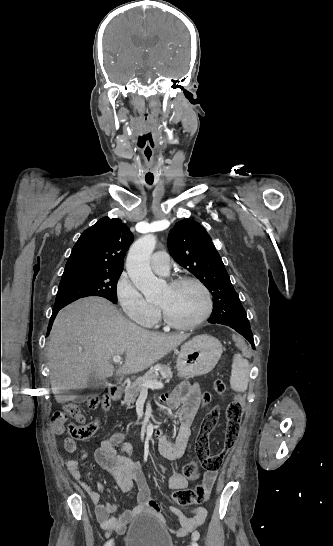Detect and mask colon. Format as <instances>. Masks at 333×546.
<instances>
[{
    "label": "colon",
    "mask_w": 333,
    "mask_h": 546,
    "mask_svg": "<svg viewBox=\"0 0 333 546\" xmlns=\"http://www.w3.org/2000/svg\"><path fill=\"white\" fill-rule=\"evenodd\" d=\"M226 390V385L221 379H216L213 382V391L217 394H222ZM211 400V394L204 392L201 397L203 404H208ZM244 395L237 393L235 399L229 403L226 409V429L224 436V445L221 451L211 453L209 449V436L215 429L219 420V411L216 408L209 409L201 423L200 432L195 441V453L198 462L206 471H218L225 460L227 453L234 447L241 428L243 417V401ZM111 399L108 395H104L101 399L97 396L88 398L86 404L90 409H94L101 405L103 409H108ZM65 414L55 413L52 417V426L56 433H67L74 439L86 440L92 437L98 429V421L94 420L86 424L66 423V415L76 417L81 414L80 409L75 404H67L64 407ZM198 474V464L195 461L187 463L183 467V475L187 478ZM208 493L200 484L194 489H179L172 494L173 500L181 505L188 506L192 503H202L207 500Z\"/></svg>",
    "instance_id": "5ec220e1"
}]
</instances>
